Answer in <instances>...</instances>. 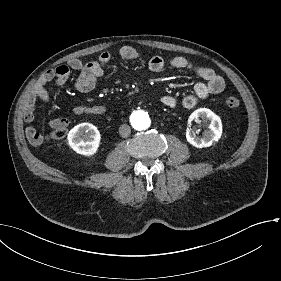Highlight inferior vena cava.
I'll return each instance as SVG.
<instances>
[{"label":"inferior vena cava","instance_id":"obj_1","mask_svg":"<svg viewBox=\"0 0 281 281\" xmlns=\"http://www.w3.org/2000/svg\"><path fill=\"white\" fill-rule=\"evenodd\" d=\"M130 132H131V130H130L129 125H127V124L120 125L119 134L121 137H123V138L128 137Z\"/></svg>","mask_w":281,"mask_h":281}]
</instances>
